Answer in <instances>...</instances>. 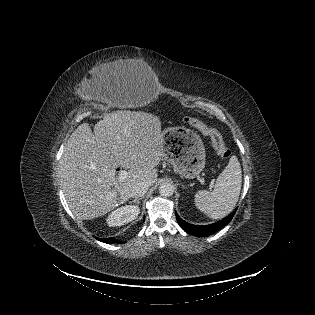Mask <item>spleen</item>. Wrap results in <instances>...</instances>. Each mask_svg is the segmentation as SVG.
Segmentation results:
<instances>
[{"label": "spleen", "instance_id": "spleen-1", "mask_svg": "<svg viewBox=\"0 0 315 315\" xmlns=\"http://www.w3.org/2000/svg\"><path fill=\"white\" fill-rule=\"evenodd\" d=\"M242 183L241 166L236 156H232L226 168L217 177L211 191L201 190L195 194L196 207L212 219H221L235 207Z\"/></svg>", "mask_w": 315, "mask_h": 315}]
</instances>
